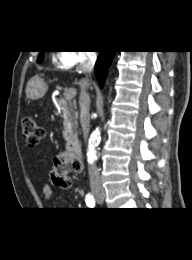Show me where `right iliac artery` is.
<instances>
[{
	"mask_svg": "<svg viewBox=\"0 0 192 260\" xmlns=\"http://www.w3.org/2000/svg\"><path fill=\"white\" fill-rule=\"evenodd\" d=\"M85 201L89 207L95 206V199L91 194L86 195Z\"/></svg>",
	"mask_w": 192,
	"mask_h": 260,
	"instance_id": "right-iliac-artery-1",
	"label": "right iliac artery"
}]
</instances>
